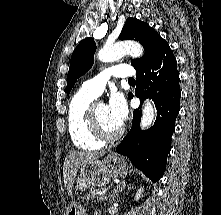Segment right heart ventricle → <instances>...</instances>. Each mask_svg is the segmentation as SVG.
<instances>
[{
	"mask_svg": "<svg viewBox=\"0 0 221 215\" xmlns=\"http://www.w3.org/2000/svg\"><path fill=\"white\" fill-rule=\"evenodd\" d=\"M95 96L80 90L75 93L68 105L67 127L73 145L83 151H95L103 147L91 131L88 121V108Z\"/></svg>",
	"mask_w": 221,
	"mask_h": 215,
	"instance_id": "e07e8e85",
	"label": "right heart ventricle"
}]
</instances>
